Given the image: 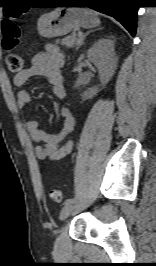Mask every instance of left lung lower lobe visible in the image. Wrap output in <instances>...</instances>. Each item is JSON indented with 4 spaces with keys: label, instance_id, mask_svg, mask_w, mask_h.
<instances>
[{
    "label": "left lung lower lobe",
    "instance_id": "1",
    "mask_svg": "<svg viewBox=\"0 0 156 266\" xmlns=\"http://www.w3.org/2000/svg\"><path fill=\"white\" fill-rule=\"evenodd\" d=\"M55 3H73L80 7H90L98 12L114 17L132 36L137 27V0H69Z\"/></svg>",
    "mask_w": 156,
    "mask_h": 266
}]
</instances>
